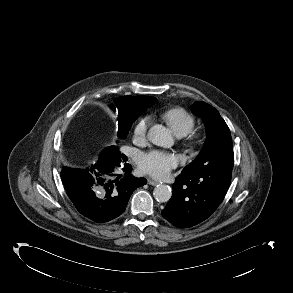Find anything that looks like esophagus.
<instances>
[{"label": "esophagus", "mask_w": 293, "mask_h": 293, "mask_svg": "<svg viewBox=\"0 0 293 293\" xmlns=\"http://www.w3.org/2000/svg\"><path fill=\"white\" fill-rule=\"evenodd\" d=\"M147 181H148V184L152 185V186H157L160 183L159 181L153 180V179H150V178Z\"/></svg>", "instance_id": "1"}]
</instances>
